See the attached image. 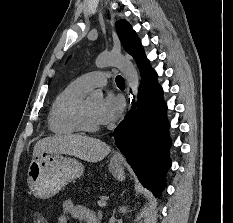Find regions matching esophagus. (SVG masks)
<instances>
[{
	"instance_id": "1",
	"label": "esophagus",
	"mask_w": 233,
	"mask_h": 223,
	"mask_svg": "<svg viewBox=\"0 0 233 223\" xmlns=\"http://www.w3.org/2000/svg\"><path fill=\"white\" fill-rule=\"evenodd\" d=\"M114 158H120V154H119L118 152H116V153L114 154Z\"/></svg>"
}]
</instances>
